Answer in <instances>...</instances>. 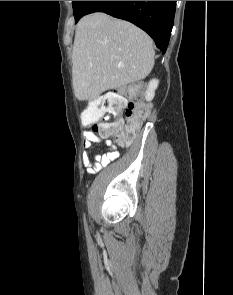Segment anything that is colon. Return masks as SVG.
Returning a JSON list of instances; mask_svg holds the SVG:
<instances>
[{"label": "colon", "instance_id": "colon-1", "mask_svg": "<svg viewBox=\"0 0 233 295\" xmlns=\"http://www.w3.org/2000/svg\"><path fill=\"white\" fill-rule=\"evenodd\" d=\"M142 85L132 84L119 92L105 95L101 103L90 104L82 113L83 121L92 124V130L103 137H110L120 146L130 145L136 138L149 108L137 101ZM124 114L123 118L119 116ZM113 117L111 121L98 122L99 119Z\"/></svg>", "mask_w": 233, "mask_h": 295}]
</instances>
